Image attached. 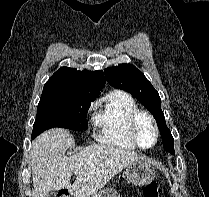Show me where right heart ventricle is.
I'll list each match as a JSON object with an SVG mask.
<instances>
[{"label":"right heart ventricle","instance_id":"1","mask_svg":"<svg viewBox=\"0 0 209 197\" xmlns=\"http://www.w3.org/2000/svg\"><path fill=\"white\" fill-rule=\"evenodd\" d=\"M138 110L130 94L119 90L109 93L93 116V124L98 129L97 138L119 148L136 149L129 134V123L131 116Z\"/></svg>","mask_w":209,"mask_h":197}]
</instances>
